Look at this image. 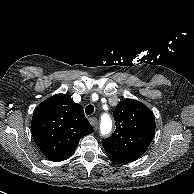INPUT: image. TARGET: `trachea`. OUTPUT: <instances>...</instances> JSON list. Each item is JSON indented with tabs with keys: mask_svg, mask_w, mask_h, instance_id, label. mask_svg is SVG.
I'll return each mask as SVG.
<instances>
[{
	"mask_svg": "<svg viewBox=\"0 0 194 194\" xmlns=\"http://www.w3.org/2000/svg\"><path fill=\"white\" fill-rule=\"evenodd\" d=\"M93 112H94V106L93 105H88L86 108H85V113L87 114V115H91V114H93Z\"/></svg>",
	"mask_w": 194,
	"mask_h": 194,
	"instance_id": "1",
	"label": "trachea"
}]
</instances>
